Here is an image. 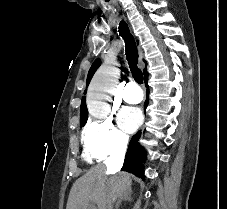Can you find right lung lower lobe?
Listing matches in <instances>:
<instances>
[{
    "label": "right lung lower lobe",
    "instance_id": "1",
    "mask_svg": "<svg viewBox=\"0 0 227 209\" xmlns=\"http://www.w3.org/2000/svg\"><path fill=\"white\" fill-rule=\"evenodd\" d=\"M145 83L147 84L148 76L144 78ZM148 87V86H147ZM148 105V98L145 101L144 109H146ZM141 136V131H138L131 139L129 143V148L125 156L124 165L122 167L123 171H127L130 173L135 174L140 178L144 177V170L141 162L146 160V153L144 148L140 146L138 140Z\"/></svg>",
    "mask_w": 227,
    "mask_h": 209
}]
</instances>
